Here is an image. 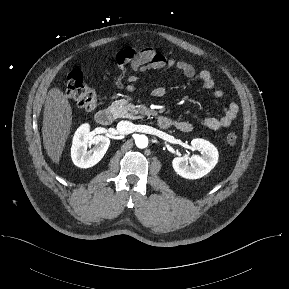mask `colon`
<instances>
[{"label": "colon", "instance_id": "5ec220e1", "mask_svg": "<svg viewBox=\"0 0 289 289\" xmlns=\"http://www.w3.org/2000/svg\"><path fill=\"white\" fill-rule=\"evenodd\" d=\"M65 94L86 110H93L97 106V94L85 83L83 74L79 70L71 72L68 76ZM226 141L229 145L236 144V134L228 133Z\"/></svg>", "mask_w": 289, "mask_h": 289}]
</instances>
